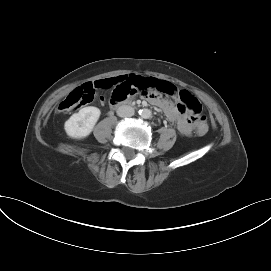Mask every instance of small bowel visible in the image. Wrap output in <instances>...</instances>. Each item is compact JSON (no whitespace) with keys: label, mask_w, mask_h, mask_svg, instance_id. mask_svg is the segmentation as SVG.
<instances>
[{"label":"small bowel","mask_w":271,"mask_h":271,"mask_svg":"<svg viewBox=\"0 0 271 271\" xmlns=\"http://www.w3.org/2000/svg\"><path fill=\"white\" fill-rule=\"evenodd\" d=\"M82 87L93 88L96 92L100 89L112 88L111 102H128L131 96L144 98L149 103L160 107L166 116L176 123L183 135L188 136L192 133V119L182 113L178 106L170 101V95L179 99V94L176 92V87L169 81L153 76L121 75L87 82Z\"/></svg>","instance_id":"c3829d8e"}]
</instances>
